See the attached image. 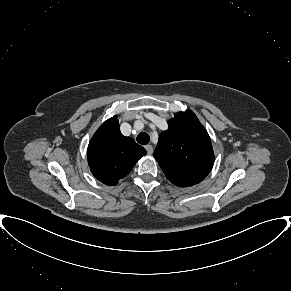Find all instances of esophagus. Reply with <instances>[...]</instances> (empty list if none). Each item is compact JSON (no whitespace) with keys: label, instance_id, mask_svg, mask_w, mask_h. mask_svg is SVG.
<instances>
[{"label":"esophagus","instance_id":"1","mask_svg":"<svg viewBox=\"0 0 291 291\" xmlns=\"http://www.w3.org/2000/svg\"><path fill=\"white\" fill-rule=\"evenodd\" d=\"M145 149H146V151H147L148 154H152V152H153V147H152V145H146V146H145Z\"/></svg>","mask_w":291,"mask_h":291}]
</instances>
